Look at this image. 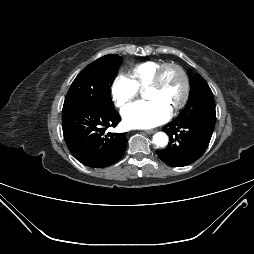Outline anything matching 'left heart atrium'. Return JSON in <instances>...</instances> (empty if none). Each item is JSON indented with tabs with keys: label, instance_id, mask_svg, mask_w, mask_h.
Listing matches in <instances>:
<instances>
[{
	"label": "left heart atrium",
	"instance_id": "left-heart-atrium-1",
	"mask_svg": "<svg viewBox=\"0 0 254 254\" xmlns=\"http://www.w3.org/2000/svg\"><path fill=\"white\" fill-rule=\"evenodd\" d=\"M171 111L156 100L136 101L122 109L124 123L130 128L147 129L164 123Z\"/></svg>",
	"mask_w": 254,
	"mask_h": 254
}]
</instances>
